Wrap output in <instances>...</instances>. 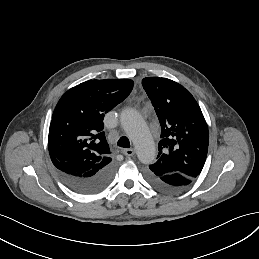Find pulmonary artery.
I'll use <instances>...</instances> for the list:
<instances>
[{"mask_svg":"<svg viewBox=\"0 0 259 259\" xmlns=\"http://www.w3.org/2000/svg\"><path fill=\"white\" fill-rule=\"evenodd\" d=\"M120 125L123 131L133 139L139 125L137 120L131 114L123 115Z\"/></svg>","mask_w":259,"mask_h":259,"instance_id":"pulmonary-artery-1","label":"pulmonary artery"}]
</instances>
